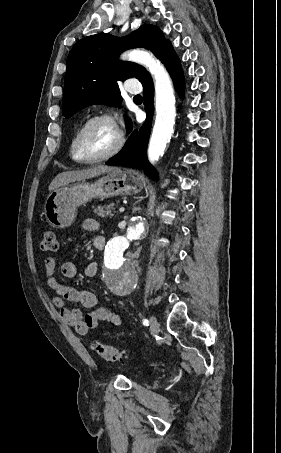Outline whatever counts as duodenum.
Segmentation results:
<instances>
[{
	"mask_svg": "<svg viewBox=\"0 0 281 453\" xmlns=\"http://www.w3.org/2000/svg\"><path fill=\"white\" fill-rule=\"evenodd\" d=\"M104 247H105V239H104V238H101V239L99 240V242L97 243L96 248H97L98 250H103Z\"/></svg>",
	"mask_w": 281,
	"mask_h": 453,
	"instance_id": "1",
	"label": "duodenum"
}]
</instances>
